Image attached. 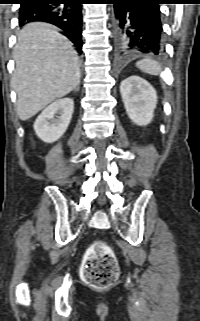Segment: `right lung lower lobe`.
<instances>
[{
  "instance_id": "1",
  "label": "right lung lower lobe",
  "mask_w": 200,
  "mask_h": 321,
  "mask_svg": "<svg viewBox=\"0 0 200 321\" xmlns=\"http://www.w3.org/2000/svg\"><path fill=\"white\" fill-rule=\"evenodd\" d=\"M83 0H22L19 9V25L30 22H47L61 28L77 51L82 49Z\"/></svg>"
}]
</instances>
